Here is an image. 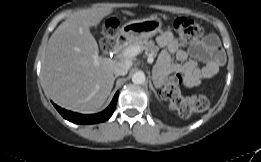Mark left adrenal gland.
<instances>
[{"mask_svg":"<svg viewBox=\"0 0 261 162\" xmlns=\"http://www.w3.org/2000/svg\"><path fill=\"white\" fill-rule=\"evenodd\" d=\"M149 86H150V89L154 92L156 98H157L158 100H160V99H159V96H158V94H157L156 90L154 89V87H153V85H152L151 82L149 83Z\"/></svg>","mask_w":261,"mask_h":162,"instance_id":"a2214340","label":"left adrenal gland"}]
</instances>
